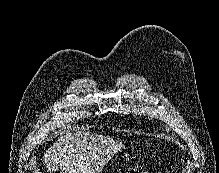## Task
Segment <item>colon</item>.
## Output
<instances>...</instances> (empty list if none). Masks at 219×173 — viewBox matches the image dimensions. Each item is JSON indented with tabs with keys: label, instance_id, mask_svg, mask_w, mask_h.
Returning <instances> with one entry per match:
<instances>
[{
	"label": "colon",
	"instance_id": "5ec220e1",
	"mask_svg": "<svg viewBox=\"0 0 219 173\" xmlns=\"http://www.w3.org/2000/svg\"><path fill=\"white\" fill-rule=\"evenodd\" d=\"M125 173H149V172L147 171V169L144 168H132L126 171Z\"/></svg>",
	"mask_w": 219,
	"mask_h": 173
}]
</instances>
